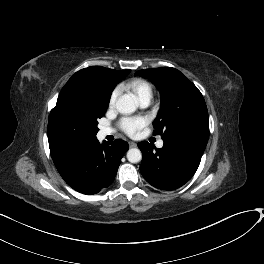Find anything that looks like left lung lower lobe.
Listing matches in <instances>:
<instances>
[{"label": "left lung lower lobe", "mask_w": 264, "mask_h": 264, "mask_svg": "<svg viewBox=\"0 0 264 264\" xmlns=\"http://www.w3.org/2000/svg\"><path fill=\"white\" fill-rule=\"evenodd\" d=\"M157 149L148 142L138 144L142 152L140 171L146 181L162 190H175L195 174L208 138L197 133H184L165 139Z\"/></svg>", "instance_id": "obj_1"}]
</instances>
